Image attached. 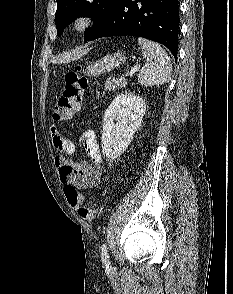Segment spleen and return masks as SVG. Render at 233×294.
I'll return each mask as SVG.
<instances>
[{
    "mask_svg": "<svg viewBox=\"0 0 233 294\" xmlns=\"http://www.w3.org/2000/svg\"><path fill=\"white\" fill-rule=\"evenodd\" d=\"M137 42L145 59V64L138 75L139 83L145 87H152L169 82L172 64L166 51L158 43L141 37Z\"/></svg>",
    "mask_w": 233,
    "mask_h": 294,
    "instance_id": "1",
    "label": "spleen"
}]
</instances>
